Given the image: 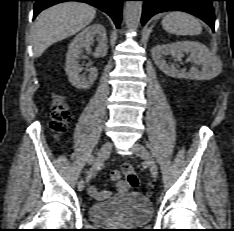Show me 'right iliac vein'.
Wrapping results in <instances>:
<instances>
[{
    "instance_id": "right-iliac-vein-1",
    "label": "right iliac vein",
    "mask_w": 234,
    "mask_h": 231,
    "mask_svg": "<svg viewBox=\"0 0 234 231\" xmlns=\"http://www.w3.org/2000/svg\"><path fill=\"white\" fill-rule=\"evenodd\" d=\"M112 149V143L110 141L105 142L97 155L96 160H94V164L98 165L101 161L105 160L106 158H108V156L110 155ZM85 187V182L83 180L78 182V190L82 191Z\"/></svg>"
}]
</instances>
